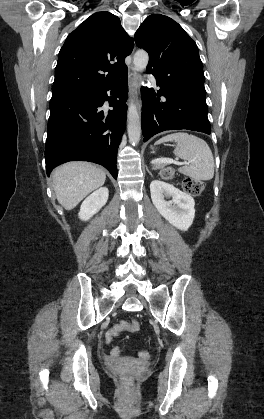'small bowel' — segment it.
Wrapping results in <instances>:
<instances>
[{
    "mask_svg": "<svg viewBox=\"0 0 264 419\" xmlns=\"http://www.w3.org/2000/svg\"><path fill=\"white\" fill-rule=\"evenodd\" d=\"M118 327H119V323L118 324H115L111 329H109L108 331H107V333H106V336L105 337H107L108 336V334L112 331V330H115V329H118ZM119 333H117V335H118ZM116 335V336H117ZM112 339H113V337L111 338V339H105L106 340V342L107 343H109V342H111L112 341ZM120 354H121V349L119 348V347H114L112 350H111V356L112 357H118V356H120Z\"/></svg>",
    "mask_w": 264,
    "mask_h": 419,
    "instance_id": "obj_1",
    "label": "small bowel"
}]
</instances>
